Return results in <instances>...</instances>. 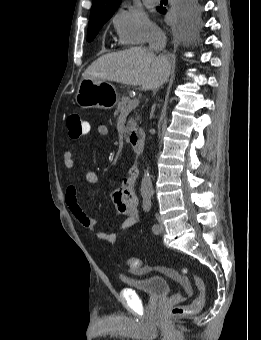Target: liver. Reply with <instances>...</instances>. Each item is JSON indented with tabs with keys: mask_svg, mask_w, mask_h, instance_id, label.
<instances>
[{
	"mask_svg": "<svg viewBox=\"0 0 261 340\" xmlns=\"http://www.w3.org/2000/svg\"><path fill=\"white\" fill-rule=\"evenodd\" d=\"M169 72L170 62L166 57H156L143 47H132L99 57L82 76L155 90L166 81Z\"/></svg>",
	"mask_w": 261,
	"mask_h": 340,
	"instance_id": "6515ba94",
	"label": "liver"
}]
</instances>
